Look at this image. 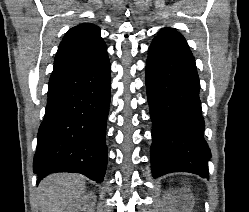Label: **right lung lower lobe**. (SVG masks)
<instances>
[{
  "instance_id": "obj_1",
  "label": "right lung lower lobe",
  "mask_w": 249,
  "mask_h": 212,
  "mask_svg": "<svg viewBox=\"0 0 249 212\" xmlns=\"http://www.w3.org/2000/svg\"><path fill=\"white\" fill-rule=\"evenodd\" d=\"M110 83L108 54L87 68L49 81L33 163L38 182L54 172L81 173L103 182Z\"/></svg>"
}]
</instances>
